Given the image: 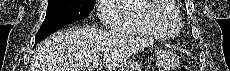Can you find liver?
I'll return each instance as SVG.
<instances>
[{
	"label": "liver",
	"instance_id": "6515ba94",
	"mask_svg": "<svg viewBox=\"0 0 230 71\" xmlns=\"http://www.w3.org/2000/svg\"><path fill=\"white\" fill-rule=\"evenodd\" d=\"M151 44L145 38L76 26L40 43L30 71H89L97 56H103L104 67L113 71Z\"/></svg>",
	"mask_w": 230,
	"mask_h": 71
}]
</instances>
